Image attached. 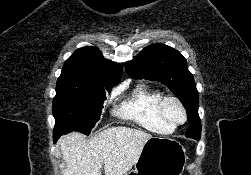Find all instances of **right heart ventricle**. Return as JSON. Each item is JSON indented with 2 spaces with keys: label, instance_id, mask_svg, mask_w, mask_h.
Returning <instances> with one entry per match:
<instances>
[{
  "label": "right heart ventricle",
  "instance_id": "obj_1",
  "mask_svg": "<svg viewBox=\"0 0 251 175\" xmlns=\"http://www.w3.org/2000/svg\"><path fill=\"white\" fill-rule=\"evenodd\" d=\"M163 93L145 84L134 87L129 98L120 107V113L142 129L159 135L175 132L158 117L156 106Z\"/></svg>",
  "mask_w": 251,
  "mask_h": 175
}]
</instances>
